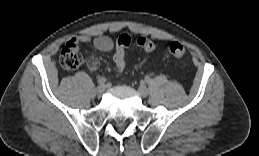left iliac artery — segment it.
Listing matches in <instances>:
<instances>
[{
    "instance_id": "1",
    "label": "left iliac artery",
    "mask_w": 259,
    "mask_h": 156,
    "mask_svg": "<svg viewBox=\"0 0 259 156\" xmlns=\"http://www.w3.org/2000/svg\"><path fill=\"white\" fill-rule=\"evenodd\" d=\"M150 80H151L150 77H148V76L145 77V81H146L147 83H149Z\"/></svg>"
}]
</instances>
